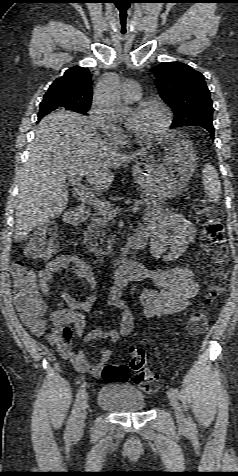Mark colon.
I'll return each instance as SVG.
<instances>
[{"label":"colon","instance_id":"1","mask_svg":"<svg viewBox=\"0 0 238 476\" xmlns=\"http://www.w3.org/2000/svg\"><path fill=\"white\" fill-rule=\"evenodd\" d=\"M196 218L200 226L201 246L212 263V270L208 278L207 302L223 294L228 288L227 259L228 246L222 216L219 211L208 203H201L196 210ZM57 228L46 225L39 228L29 240L24 257L29 261L48 259L57 248ZM14 282V299L17 310L23 321L37 334L44 328V306L41 302L34 269L31 264L19 260L12 266ZM207 328V317L202 311L194 312L188 321V331L197 335ZM56 334H50V341L54 343ZM130 366L109 364L102 371V378L106 382H122L129 377V369L134 372V383L146 393L156 392L161 380L157 373L148 365L145 351L139 347H130Z\"/></svg>","mask_w":238,"mask_h":476}]
</instances>
